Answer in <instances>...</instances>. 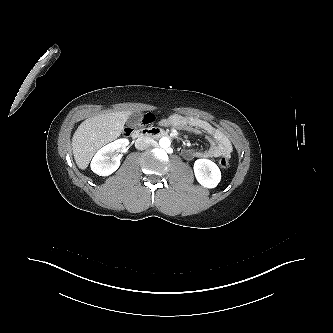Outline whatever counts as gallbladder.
Masks as SVG:
<instances>
[{"mask_svg":"<svg viewBox=\"0 0 333 333\" xmlns=\"http://www.w3.org/2000/svg\"><path fill=\"white\" fill-rule=\"evenodd\" d=\"M141 118H142V113L140 112L132 113L129 117L127 125L136 126L137 123L141 120Z\"/></svg>","mask_w":333,"mask_h":333,"instance_id":"1","label":"gallbladder"}]
</instances>
